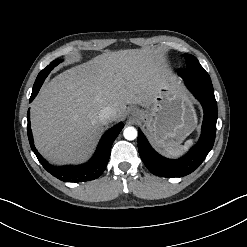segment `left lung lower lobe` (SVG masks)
Masks as SVG:
<instances>
[{
  "mask_svg": "<svg viewBox=\"0 0 247 247\" xmlns=\"http://www.w3.org/2000/svg\"><path fill=\"white\" fill-rule=\"evenodd\" d=\"M183 69L178 71L180 75ZM181 76V75H180ZM184 79V78H183ZM185 85L201 103L204 110L202 133L198 143L182 158L167 159L152 149L143 133H138V151L148 170L154 175L184 177L196 170L213 147L216 135L217 103L212 82L184 79Z\"/></svg>",
  "mask_w": 247,
  "mask_h": 247,
  "instance_id": "obj_1",
  "label": "left lung lower lobe"
}]
</instances>
